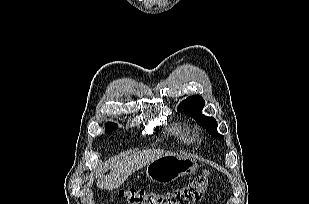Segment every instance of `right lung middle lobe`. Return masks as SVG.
<instances>
[{"mask_svg":"<svg viewBox=\"0 0 309 204\" xmlns=\"http://www.w3.org/2000/svg\"><path fill=\"white\" fill-rule=\"evenodd\" d=\"M117 129V125L115 123L108 122L106 125V132H112Z\"/></svg>","mask_w":309,"mask_h":204,"instance_id":"right-lung-middle-lobe-1","label":"right lung middle lobe"}]
</instances>
